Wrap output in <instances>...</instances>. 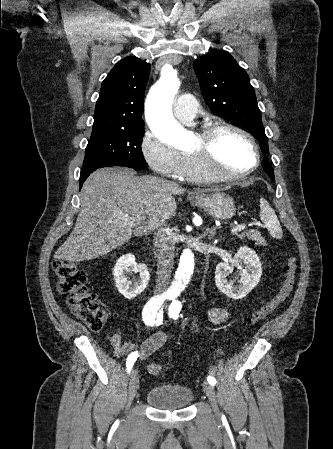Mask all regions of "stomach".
Here are the masks:
<instances>
[{"instance_id":"0dacf381","label":"stomach","mask_w":333,"mask_h":449,"mask_svg":"<svg viewBox=\"0 0 333 449\" xmlns=\"http://www.w3.org/2000/svg\"><path fill=\"white\" fill-rule=\"evenodd\" d=\"M196 206L203 208L211 216L217 219H230L236 213L234 199L221 192L202 194L194 198Z\"/></svg>"}]
</instances>
